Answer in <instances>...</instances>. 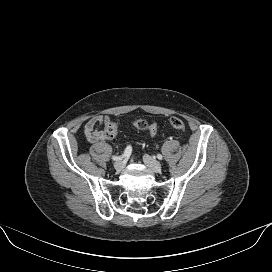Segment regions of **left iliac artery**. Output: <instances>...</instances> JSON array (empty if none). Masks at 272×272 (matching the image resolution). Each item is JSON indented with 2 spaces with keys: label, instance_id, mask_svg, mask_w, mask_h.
Returning <instances> with one entry per match:
<instances>
[{
  "label": "left iliac artery",
  "instance_id": "left-iliac-artery-1",
  "mask_svg": "<svg viewBox=\"0 0 272 272\" xmlns=\"http://www.w3.org/2000/svg\"><path fill=\"white\" fill-rule=\"evenodd\" d=\"M157 158H158L159 160H162V159H163V156H162L161 154H158V155H157Z\"/></svg>",
  "mask_w": 272,
  "mask_h": 272
}]
</instances>
